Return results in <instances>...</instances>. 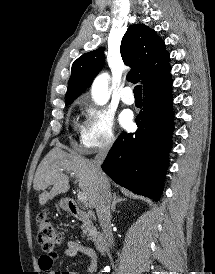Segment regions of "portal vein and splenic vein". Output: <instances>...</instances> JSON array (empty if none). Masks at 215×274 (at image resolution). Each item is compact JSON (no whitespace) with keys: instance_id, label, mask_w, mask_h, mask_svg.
Returning a JSON list of instances; mask_svg holds the SVG:
<instances>
[{"instance_id":"obj_1","label":"portal vein and splenic vein","mask_w":215,"mask_h":274,"mask_svg":"<svg viewBox=\"0 0 215 274\" xmlns=\"http://www.w3.org/2000/svg\"><path fill=\"white\" fill-rule=\"evenodd\" d=\"M72 176H73V175L71 174V177H72ZM77 197H78V200H79L80 202L84 203V204H86L87 201H88L87 196H86V194H85L84 192H78Z\"/></svg>"}]
</instances>
